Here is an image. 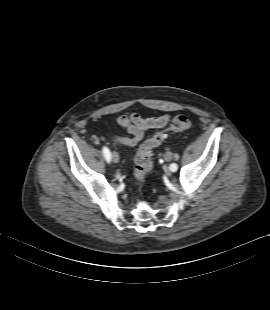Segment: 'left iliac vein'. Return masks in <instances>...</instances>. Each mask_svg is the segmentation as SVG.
I'll list each match as a JSON object with an SVG mask.
<instances>
[{"label": "left iliac vein", "instance_id": "4c4485c4", "mask_svg": "<svg viewBox=\"0 0 270 310\" xmlns=\"http://www.w3.org/2000/svg\"><path fill=\"white\" fill-rule=\"evenodd\" d=\"M173 155L171 152H166L164 155V158L166 161H170L172 159Z\"/></svg>", "mask_w": 270, "mask_h": 310}]
</instances>
